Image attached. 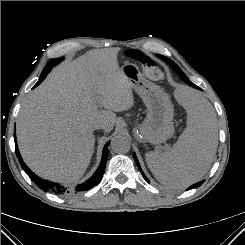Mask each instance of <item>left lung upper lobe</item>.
I'll use <instances>...</instances> for the list:
<instances>
[{"label":"left lung upper lobe","instance_id":"obj_1","mask_svg":"<svg viewBox=\"0 0 245 245\" xmlns=\"http://www.w3.org/2000/svg\"><path fill=\"white\" fill-rule=\"evenodd\" d=\"M159 57H161L163 60H165L167 63H169L172 66V68L175 70V72L180 76V78L182 75H184L186 77V75L181 71V69L172 60H170L169 58L162 56V55H159Z\"/></svg>","mask_w":245,"mask_h":245}]
</instances>
